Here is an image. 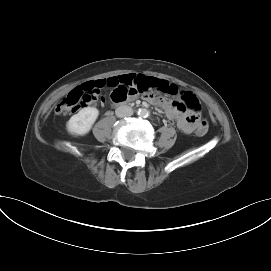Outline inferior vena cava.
Returning <instances> with one entry per match:
<instances>
[{"mask_svg": "<svg viewBox=\"0 0 271 271\" xmlns=\"http://www.w3.org/2000/svg\"><path fill=\"white\" fill-rule=\"evenodd\" d=\"M115 113L116 116L120 118L130 117L133 115V109L129 106L122 105L115 110Z\"/></svg>", "mask_w": 271, "mask_h": 271, "instance_id": "obj_1", "label": "inferior vena cava"}]
</instances>
